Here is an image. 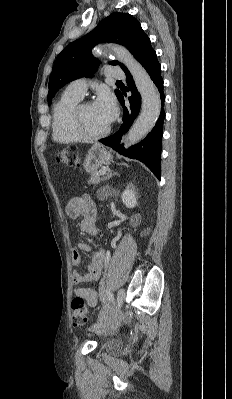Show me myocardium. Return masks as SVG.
Masks as SVG:
<instances>
[{
  "label": "myocardium",
  "instance_id": "1",
  "mask_svg": "<svg viewBox=\"0 0 232 399\" xmlns=\"http://www.w3.org/2000/svg\"><path fill=\"white\" fill-rule=\"evenodd\" d=\"M90 106H92V103L89 101L79 102L73 109L70 124H71V129H72L73 133L80 140L87 141V142H96V141H100V140L106 138L110 134L112 128H111V126H109L105 132L98 134V135H89L86 132H84L81 127V114L85 108L90 107Z\"/></svg>",
  "mask_w": 232,
  "mask_h": 399
}]
</instances>
